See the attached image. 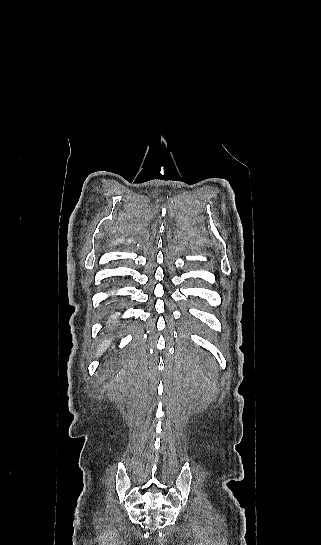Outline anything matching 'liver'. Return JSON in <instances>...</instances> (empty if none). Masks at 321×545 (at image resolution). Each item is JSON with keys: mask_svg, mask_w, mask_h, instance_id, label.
Listing matches in <instances>:
<instances>
[{"mask_svg": "<svg viewBox=\"0 0 321 545\" xmlns=\"http://www.w3.org/2000/svg\"><path fill=\"white\" fill-rule=\"evenodd\" d=\"M111 341H108V339H105V341H101L100 345L97 347V353L95 357H101L105 351H107Z\"/></svg>", "mask_w": 321, "mask_h": 545, "instance_id": "1", "label": "liver"}]
</instances>
